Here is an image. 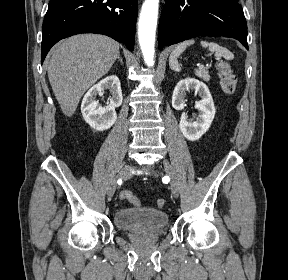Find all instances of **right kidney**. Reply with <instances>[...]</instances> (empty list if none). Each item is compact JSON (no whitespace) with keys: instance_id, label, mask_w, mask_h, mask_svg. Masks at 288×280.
<instances>
[{"instance_id":"right-kidney-1","label":"right kidney","mask_w":288,"mask_h":280,"mask_svg":"<svg viewBox=\"0 0 288 280\" xmlns=\"http://www.w3.org/2000/svg\"><path fill=\"white\" fill-rule=\"evenodd\" d=\"M109 90L111 93L109 105L102 107L96 101V96ZM123 96L119 78L115 75L102 79L98 84L91 87L85 94L81 112L85 121L95 130L104 131L112 127L117 119L115 108L122 104Z\"/></svg>"}]
</instances>
